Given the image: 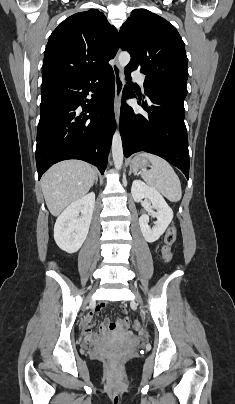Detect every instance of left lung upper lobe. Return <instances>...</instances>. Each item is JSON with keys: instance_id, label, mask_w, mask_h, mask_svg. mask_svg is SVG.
Masks as SVG:
<instances>
[{"instance_id": "obj_1", "label": "left lung upper lobe", "mask_w": 235, "mask_h": 404, "mask_svg": "<svg viewBox=\"0 0 235 404\" xmlns=\"http://www.w3.org/2000/svg\"><path fill=\"white\" fill-rule=\"evenodd\" d=\"M120 46L131 60L126 71L146 75L145 93L167 92L186 97L187 56L176 28L147 10L135 9L120 29Z\"/></svg>"}]
</instances>
